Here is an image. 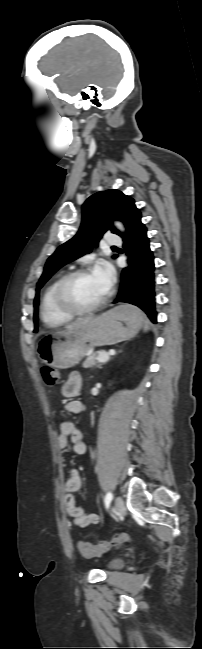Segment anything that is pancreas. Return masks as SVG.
<instances>
[{"instance_id": "pancreas-1", "label": "pancreas", "mask_w": 202, "mask_h": 649, "mask_svg": "<svg viewBox=\"0 0 202 649\" xmlns=\"http://www.w3.org/2000/svg\"><path fill=\"white\" fill-rule=\"evenodd\" d=\"M100 353H106V354H108V352H106V351H104V350H101V351H98V352H97V355H99ZM97 363H98L97 358H96L95 356H91V357L87 358V359L84 361V363L82 364V366H83L84 368H90V367H93V366L97 365Z\"/></svg>"}]
</instances>
